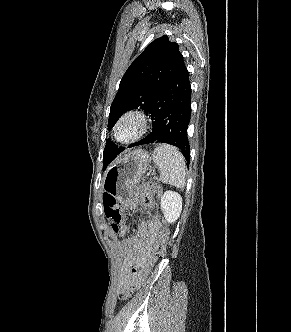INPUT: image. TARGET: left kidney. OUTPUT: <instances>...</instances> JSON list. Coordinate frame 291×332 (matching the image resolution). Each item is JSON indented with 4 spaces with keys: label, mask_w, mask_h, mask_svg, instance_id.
<instances>
[{
    "label": "left kidney",
    "mask_w": 291,
    "mask_h": 332,
    "mask_svg": "<svg viewBox=\"0 0 291 332\" xmlns=\"http://www.w3.org/2000/svg\"><path fill=\"white\" fill-rule=\"evenodd\" d=\"M161 210L168 223H174L182 210V197L174 191H166L161 198Z\"/></svg>",
    "instance_id": "obj_1"
}]
</instances>
